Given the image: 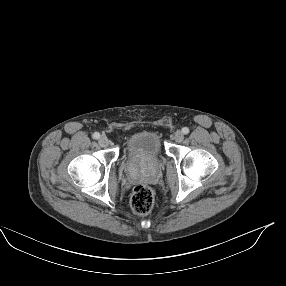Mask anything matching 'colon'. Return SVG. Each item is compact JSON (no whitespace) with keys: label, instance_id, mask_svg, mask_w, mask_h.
Here are the masks:
<instances>
[{"label":"colon","instance_id":"colon-1","mask_svg":"<svg viewBox=\"0 0 286 286\" xmlns=\"http://www.w3.org/2000/svg\"><path fill=\"white\" fill-rule=\"evenodd\" d=\"M153 204L152 189L146 185H137L131 196L132 209L139 215H145L152 209Z\"/></svg>","mask_w":286,"mask_h":286}]
</instances>
